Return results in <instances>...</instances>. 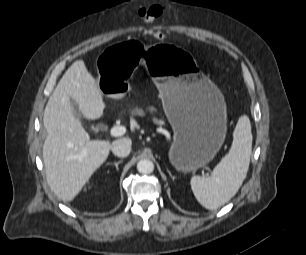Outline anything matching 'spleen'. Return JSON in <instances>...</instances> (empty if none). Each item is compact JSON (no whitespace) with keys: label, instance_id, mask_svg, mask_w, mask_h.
Wrapping results in <instances>:
<instances>
[{"label":"spleen","instance_id":"1","mask_svg":"<svg viewBox=\"0 0 306 255\" xmlns=\"http://www.w3.org/2000/svg\"><path fill=\"white\" fill-rule=\"evenodd\" d=\"M252 139L249 117L243 115L233 132L229 153L221 159L212 174L209 177L191 178V189L203 207L218 209L235 196L247 176Z\"/></svg>","mask_w":306,"mask_h":255}]
</instances>
